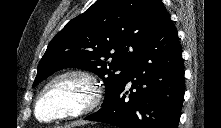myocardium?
<instances>
[{"instance_id": "1", "label": "myocardium", "mask_w": 221, "mask_h": 128, "mask_svg": "<svg viewBox=\"0 0 221 128\" xmlns=\"http://www.w3.org/2000/svg\"><path fill=\"white\" fill-rule=\"evenodd\" d=\"M67 80H72L83 88V94L78 98L77 105L68 106L48 118H42L39 113L42 103L56 85ZM101 97L102 88L95 74L83 68L68 69L53 76L43 86L34 104V115L43 124L80 117L94 109L99 104Z\"/></svg>"}]
</instances>
